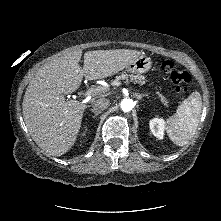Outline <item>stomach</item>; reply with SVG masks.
<instances>
[{"mask_svg":"<svg viewBox=\"0 0 221 221\" xmlns=\"http://www.w3.org/2000/svg\"><path fill=\"white\" fill-rule=\"evenodd\" d=\"M152 61L149 57L141 55L133 59L125 68L126 71L136 74L146 73L150 70Z\"/></svg>","mask_w":221,"mask_h":221,"instance_id":"0dacf381","label":"stomach"}]
</instances>
